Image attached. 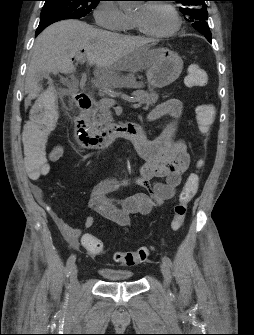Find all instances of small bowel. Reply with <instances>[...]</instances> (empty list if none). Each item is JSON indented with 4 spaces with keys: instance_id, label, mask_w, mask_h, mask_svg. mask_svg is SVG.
I'll return each mask as SVG.
<instances>
[{
    "instance_id": "c3829d8e",
    "label": "small bowel",
    "mask_w": 254,
    "mask_h": 335,
    "mask_svg": "<svg viewBox=\"0 0 254 335\" xmlns=\"http://www.w3.org/2000/svg\"><path fill=\"white\" fill-rule=\"evenodd\" d=\"M182 108V102L172 98L160 103L151 111L149 120L153 121L169 115L172 118V122L155 139L150 140L143 135L141 140L133 142L136 152L142 159L138 175L133 178L109 179L100 183L90 195L88 201L90 209L102 218L126 227L130 223L132 214H148L154 207L174 198L177 188L182 182L183 174L190 165V155L186 144L184 140L177 137V124L182 115ZM63 152L64 149L60 143L55 144L51 148L48 158H45L48 159V173L50 171V163L58 161L62 157ZM131 183L144 187L146 193H139L125 198L122 202V207H117L113 202L107 200L106 193L117 189L119 186H126ZM51 217L56 222L68 244L72 248H79L82 229L72 227L53 211H51ZM93 224L94 218L87 216L84 226L89 228ZM89 236L92 235L84 234L82 240ZM89 253L94 255L91 252Z\"/></svg>"
}]
</instances>
